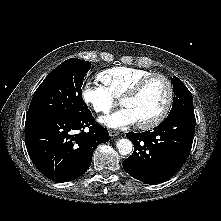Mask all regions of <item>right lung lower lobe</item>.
<instances>
[{
	"label": "right lung lower lobe",
	"instance_id": "98d812e1",
	"mask_svg": "<svg viewBox=\"0 0 221 221\" xmlns=\"http://www.w3.org/2000/svg\"><path fill=\"white\" fill-rule=\"evenodd\" d=\"M89 126V132H84ZM109 138L106 128L94 124L91 112L78 117L26 118L25 140L32 162L43 175L60 183L85 173L96 146Z\"/></svg>",
	"mask_w": 221,
	"mask_h": 221
}]
</instances>
